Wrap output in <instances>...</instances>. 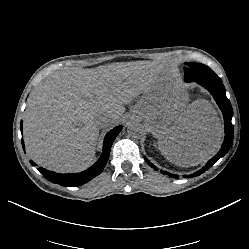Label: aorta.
Returning <instances> with one entry per match:
<instances>
[{"label": "aorta", "mask_w": 249, "mask_h": 249, "mask_svg": "<svg viewBox=\"0 0 249 249\" xmlns=\"http://www.w3.org/2000/svg\"><path fill=\"white\" fill-rule=\"evenodd\" d=\"M128 135L132 138H141L145 134L144 126L139 122H131L127 127Z\"/></svg>", "instance_id": "aorta-1"}]
</instances>
